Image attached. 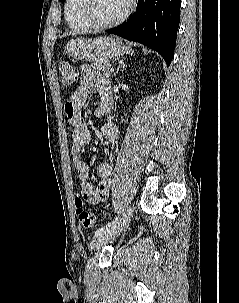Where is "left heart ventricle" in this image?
Masks as SVG:
<instances>
[{
	"label": "left heart ventricle",
	"instance_id": "obj_1",
	"mask_svg": "<svg viewBox=\"0 0 239 303\" xmlns=\"http://www.w3.org/2000/svg\"><path fill=\"white\" fill-rule=\"evenodd\" d=\"M128 0H93L91 16L95 21L108 22L119 17L127 8Z\"/></svg>",
	"mask_w": 239,
	"mask_h": 303
}]
</instances>
